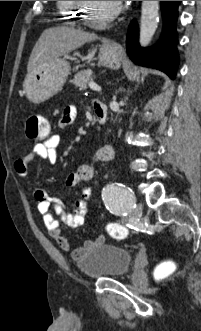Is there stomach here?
<instances>
[{
	"mask_svg": "<svg viewBox=\"0 0 201 331\" xmlns=\"http://www.w3.org/2000/svg\"><path fill=\"white\" fill-rule=\"evenodd\" d=\"M98 60L102 65L118 69L121 66L122 55L115 47L103 44L100 46ZM70 71L67 60L57 58L37 72L27 74L23 84L27 98L34 103L49 99L62 89Z\"/></svg>",
	"mask_w": 201,
	"mask_h": 331,
	"instance_id": "stomach-1",
	"label": "stomach"
}]
</instances>
